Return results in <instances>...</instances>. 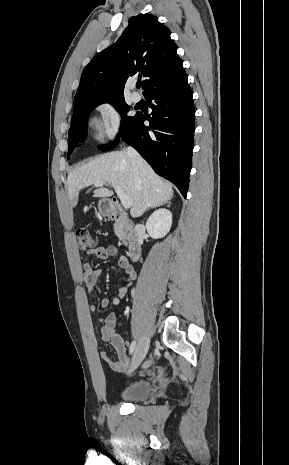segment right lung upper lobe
<instances>
[{
	"label": "right lung upper lobe",
	"mask_w": 289,
	"mask_h": 465,
	"mask_svg": "<svg viewBox=\"0 0 289 465\" xmlns=\"http://www.w3.org/2000/svg\"><path fill=\"white\" fill-rule=\"evenodd\" d=\"M143 76L144 97L187 79L169 29L152 14H139L115 44L85 67L74 105L90 100L124 99L127 80Z\"/></svg>",
	"instance_id": "right-lung-upper-lobe-1"
}]
</instances>
